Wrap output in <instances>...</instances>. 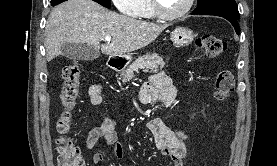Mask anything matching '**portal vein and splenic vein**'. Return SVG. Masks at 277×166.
Listing matches in <instances>:
<instances>
[{"mask_svg":"<svg viewBox=\"0 0 277 166\" xmlns=\"http://www.w3.org/2000/svg\"><path fill=\"white\" fill-rule=\"evenodd\" d=\"M105 40H106L107 42H110V41H111V37H105Z\"/></svg>","mask_w":277,"mask_h":166,"instance_id":"18ae733b","label":"portal vein and splenic vein"}]
</instances>
